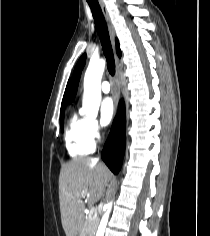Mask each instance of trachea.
I'll return each mask as SVG.
<instances>
[{
  "mask_svg": "<svg viewBox=\"0 0 210 236\" xmlns=\"http://www.w3.org/2000/svg\"><path fill=\"white\" fill-rule=\"evenodd\" d=\"M87 2L91 9L96 29L100 37L102 49L107 60L108 71L113 76L115 74V61L105 18L97 0H87Z\"/></svg>",
  "mask_w": 210,
  "mask_h": 236,
  "instance_id": "trachea-1",
  "label": "trachea"
}]
</instances>
